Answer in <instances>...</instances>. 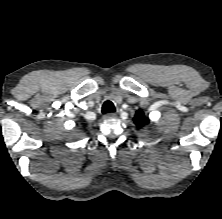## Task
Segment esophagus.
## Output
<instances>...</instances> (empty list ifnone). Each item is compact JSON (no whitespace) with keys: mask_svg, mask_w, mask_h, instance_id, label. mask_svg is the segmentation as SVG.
I'll return each mask as SVG.
<instances>
[{"mask_svg":"<svg viewBox=\"0 0 222 219\" xmlns=\"http://www.w3.org/2000/svg\"><path fill=\"white\" fill-rule=\"evenodd\" d=\"M116 114L115 113H108L104 116L105 119H112L115 118Z\"/></svg>","mask_w":222,"mask_h":219,"instance_id":"esophagus-1","label":"esophagus"}]
</instances>
